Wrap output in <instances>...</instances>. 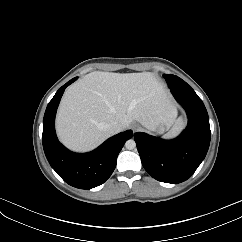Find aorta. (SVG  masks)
I'll use <instances>...</instances> for the list:
<instances>
[{
  "mask_svg": "<svg viewBox=\"0 0 242 242\" xmlns=\"http://www.w3.org/2000/svg\"><path fill=\"white\" fill-rule=\"evenodd\" d=\"M125 147L128 149V150H133L135 149L136 147V143L133 139H129L126 141L125 143Z\"/></svg>",
  "mask_w": 242,
  "mask_h": 242,
  "instance_id": "obj_1",
  "label": "aorta"
}]
</instances>
